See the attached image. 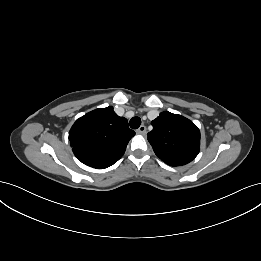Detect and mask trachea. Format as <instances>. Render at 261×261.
I'll use <instances>...</instances> for the list:
<instances>
[{
    "mask_svg": "<svg viewBox=\"0 0 261 261\" xmlns=\"http://www.w3.org/2000/svg\"><path fill=\"white\" fill-rule=\"evenodd\" d=\"M129 124L132 129H137L141 125V119L139 117H133L131 118Z\"/></svg>",
    "mask_w": 261,
    "mask_h": 261,
    "instance_id": "3493384b",
    "label": "trachea"
}]
</instances>
